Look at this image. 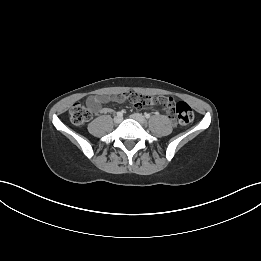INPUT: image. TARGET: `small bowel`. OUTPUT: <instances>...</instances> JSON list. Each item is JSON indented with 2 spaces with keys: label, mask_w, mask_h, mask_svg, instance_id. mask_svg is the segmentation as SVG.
<instances>
[{
  "label": "small bowel",
  "mask_w": 261,
  "mask_h": 261,
  "mask_svg": "<svg viewBox=\"0 0 261 261\" xmlns=\"http://www.w3.org/2000/svg\"><path fill=\"white\" fill-rule=\"evenodd\" d=\"M109 102H117V103H131L133 107L140 108L144 107H156L159 104V99L156 96H149L147 94L139 93L135 90H130L125 92L123 95L116 94L115 96L107 95V96H90L86 103L88 107L95 114H105L110 113L111 109L104 107L103 104ZM163 111H166L163 108Z\"/></svg>",
  "instance_id": "c3829d8e"
}]
</instances>
